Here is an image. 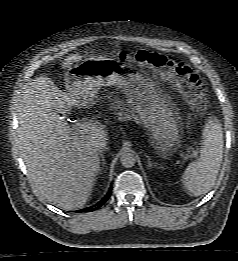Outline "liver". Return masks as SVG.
Here are the masks:
<instances>
[{
    "mask_svg": "<svg viewBox=\"0 0 238 261\" xmlns=\"http://www.w3.org/2000/svg\"><path fill=\"white\" fill-rule=\"evenodd\" d=\"M80 60L81 56H69L63 67ZM74 105L50 78L40 76L25 89L18 108V146L32 188L65 210L87 203L99 173L96 146L108 140L103 125L85 134L68 126L59 114L68 113Z\"/></svg>",
    "mask_w": 238,
    "mask_h": 261,
    "instance_id": "1",
    "label": "liver"
}]
</instances>
